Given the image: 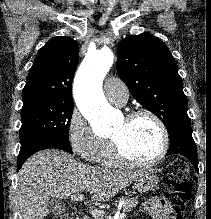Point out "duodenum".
<instances>
[{
	"label": "duodenum",
	"mask_w": 211,
	"mask_h": 219,
	"mask_svg": "<svg viewBox=\"0 0 211 219\" xmlns=\"http://www.w3.org/2000/svg\"><path fill=\"white\" fill-rule=\"evenodd\" d=\"M73 214L75 215V218H76V219H90L88 216L83 215V214L80 213V212H75V213H73Z\"/></svg>",
	"instance_id": "1"
}]
</instances>
